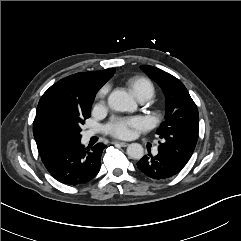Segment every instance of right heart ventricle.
Here are the masks:
<instances>
[{"mask_svg": "<svg viewBox=\"0 0 241 241\" xmlns=\"http://www.w3.org/2000/svg\"><path fill=\"white\" fill-rule=\"evenodd\" d=\"M129 90L136 98H151L155 92L152 81L143 76H135L127 81Z\"/></svg>", "mask_w": 241, "mask_h": 241, "instance_id": "right-heart-ventricle-1", "label": "right heart ventricle"}]
</instances>
